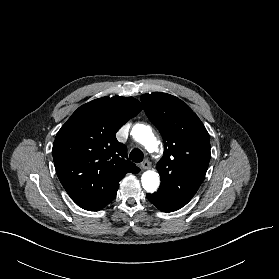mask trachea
I'll list each match as a JSON object with an SVG mask.
<instances>
[{"instance_id": "3493384b", "label": "trachea", "mask_w": 279, "mask_h": 279, "mask_svg": "<svg viewBox=\"0 0 279 279\" xmlns=\"http://www.w3.org/2000/svg\"><path fill=\"white\" fill-rule=\"evenodd\" d=\"M129 157L133 162L140 163L143 160L144 156H143V152L140 149L134 148L131 151Z\"/></svg>"}]
</instances>
